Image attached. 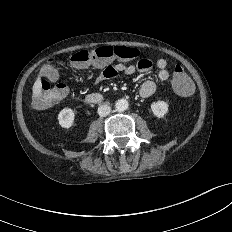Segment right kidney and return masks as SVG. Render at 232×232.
<instances>
[{"label":"right kidney","instance_id":"obj_1","mask_svg":"<svg viewBox=\"0 0 232 232\" xmlns=\"http://www.w3.org/2000/svg\"><path fill=\"white\" fill-rule=\"evenodd\" d=\"M75 114L71 108H64L58 114V122L63 128H70L73 125Z\"/></svg>","mask_w":232,"mask_h":232}]
</instances>
